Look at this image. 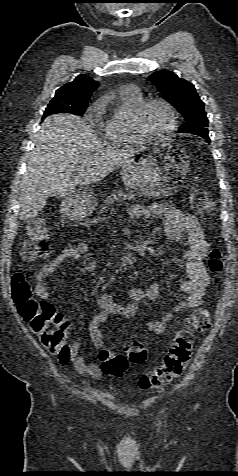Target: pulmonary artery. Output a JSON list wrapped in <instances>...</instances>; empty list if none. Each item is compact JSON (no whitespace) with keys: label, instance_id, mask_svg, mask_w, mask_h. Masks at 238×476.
Here are the masks:
<instances>
[{"label":"pulmonary artery","instance_id":"e3ab8cb5","mask_svg":"<svg viewBox=\"0 0 238 476\" xmlns=\"http://www.w3.org/2000/svg\"><path fill=\"white\" fill-rule=\"evenodd\" d=\"M126 90H129V91H137L136 88L133 87V86L126 87Z\"/></svg>","mask_w":238,"mask_h":476}]
</instances>
